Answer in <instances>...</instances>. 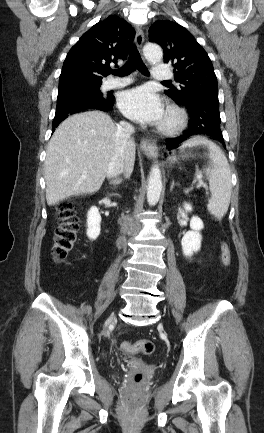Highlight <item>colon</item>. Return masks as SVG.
<instances>
[{
  "instance_id": "colon-1",
  "label": "colon",
  "mask_w": 264,
  "mask_h": 433,
  "mask_svg": "<svg viewBox=\"0 0 264 433\" xmlns=\"http://www.w3.org/2000/svg\"><path fill=\"white\" fill-rule=\"evenodd\" d=\"M56 217L58 227L53 239L52 257L55 262L59 263L67 258L78 239L79 222L75 214L74 203L71 200L59 202L56 206ZM231 259L230 248L226 242H223L221 260L224 265L228 266L231 264ZM121 349L129 354H151L154 350V344L147 339L136 342L126 341L121 344Z\"/></svg>"
}]
</instances>
